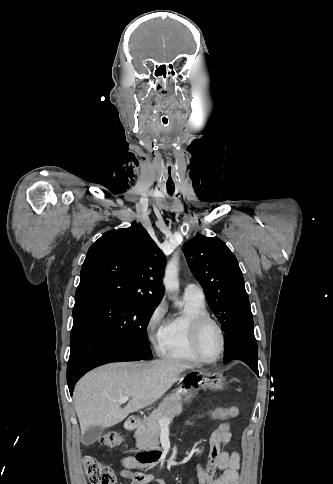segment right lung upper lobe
Wrapping results in <instances>:
<instances>
[{"mask_svg": "<svg viewBox=\"0 0 333 484\" xmlns=\"http://www.w3.org/2000/svg\"><path fill=\"white\" fill-rule=\"evenodd\" d=\"M165 257L141 224L104 233L89 248L75 304L111 298L159 304Z\"/></svg>", "mask_w": 333, "mask_h": 484, "instance_id": "cb5924a9", "label": "right lung upper lobe"}]
</instances>
